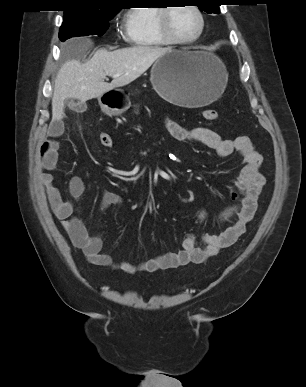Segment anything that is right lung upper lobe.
I'll return each mask as SVG.
<instances>
[{"mask_svg": "<svg viewBox=\"0 0 306 387\" xmlns=\"http://www.w3.org/2000/svg\"><path fill=\"white\" fill-rule=\"evenodd\" d=\"M118 0H68L65 15H90L107 11H119Z\"/></svg>", "mask_w": 306, "mask_h": 387, "instance_id": "1", "label": "right lung upper lobe"}]
</instances>
